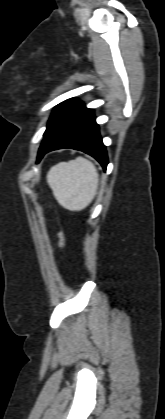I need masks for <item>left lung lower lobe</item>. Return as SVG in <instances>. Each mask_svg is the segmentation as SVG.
<instances>
[{"instance_id": "obj_1", "label": "left lung lower lobe", "mask_w": 165, "mask_h": 419, "mask_svg": "<svg viewBox=\"0 0 165 419\" xmlns=\"http://www.w3.org/2000/svg\"><path fill=\"white\" fill-rule=\"evenodd\" d=\"M62 148L83 151L93 156L106 169L107 153L92 109L80 104L65 114L45 135L37 161L47 152Z\"/></svg>"}]
</instances>
